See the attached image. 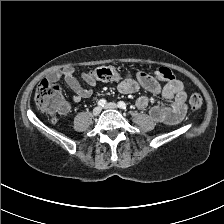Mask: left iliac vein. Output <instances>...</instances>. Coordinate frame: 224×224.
I'll use <instances>...</instances> for the list:
<instances>
[{
    "mask_svg": "<svg viewBox=\"0 0 224 224\" xmlns=\"http://www.w3.org/2000/svg\"><path fill=\"white\" fill-rule=\"evenodd\" d=\"M118 105L114 102H110L104 106V109H117Z\"/></svg>",
    "mask_w": 224,
    "mask_h": 224,
    "instance_id": "4c4485c4",
    "label": "left iliac vein"
}]
</instances>
